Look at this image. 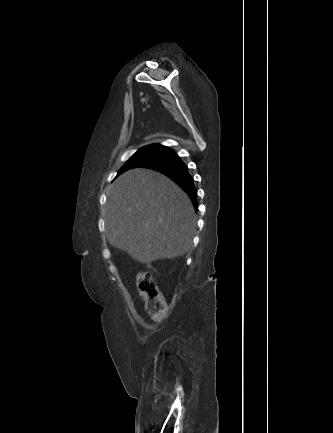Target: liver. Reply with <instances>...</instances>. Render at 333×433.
I'll use <instances>...</instances> for the list:
<instances>
[{
    "mask_svg": "<svg viewBox=\"0 0 333 433\" xmlns=\"http://www.w3.org/2000/svg\"><path fill=\"white\" fill-rule=\"evenodd\" d=\"M195 212L188 195L165 175L135 168L108 192L105 230L109 242L143 264L184 255Z\"/></svg>",
    "mask_w": 333,
    "mask_h": 433,
    "instance_id": "obj_1",
    "label": "liver"
}]
</instances>
